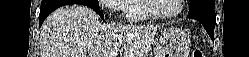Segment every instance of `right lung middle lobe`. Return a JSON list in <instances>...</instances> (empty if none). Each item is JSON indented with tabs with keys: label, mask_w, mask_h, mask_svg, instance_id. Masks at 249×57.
<instances>
[{
	"label": "right lung middle lobe",
	"mask_w": 249,
	"mask_h": 57,
	"mask_svg": "<svg viewBox=\"0 0 249 57\" xmlns=\"http://www.w3.org/2000/svg\"><path fill=\"white\" fill-rule=\"evenodd\" d=\"M86 5L93 7V8H99V2L98 0H83Z\"/></svg>",
	"instance_id": "1"
}]
</instances>
